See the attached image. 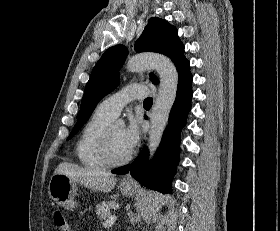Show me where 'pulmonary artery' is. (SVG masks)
<instances>
[{"instance_id": "obj_1", "label": "pulmonary artery", "mask_w": 280, "mask_h": 231, "mask_svg": "<svg viewBox=\"0 0 280 231\" xmlns=\"http://www.w3.org/2000/svg\"><path fill=\"white\" fill-rule=\"evenodd\" d=\"M148 94L149 90L146 86L131 84L103 100L96 110L114 118L120 114L123 107L128 103L134 100H143Z\"/></svg>"}]
</instances>
